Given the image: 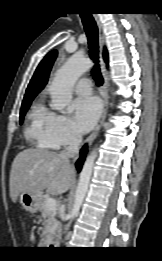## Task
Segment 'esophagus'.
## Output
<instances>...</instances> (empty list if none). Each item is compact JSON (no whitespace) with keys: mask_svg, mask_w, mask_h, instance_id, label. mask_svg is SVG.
Here are the masks:
<instances>
[{"mask_svg":"<svg viewBox=\"0 0 162 261\" xmlns=\"http://www.w3.org/2000/svg\"><path fill=\"white\" fill-rule=\"evenodd\" d=\"M95 21L97 23V27H98V34H99V54H100V65H101V73L103 76V86L101 88L100 94L102 97V101H103V106H102V112H101V116L100 119L98 121V123L96 124L94 130L92 131V133L89 135V137L86 139V143L87 144H91L94 139L96 138V136L98 135L101 123L105 117V113H106V109H107V103H108V93H107V86H108V72H107V66L106 63L103 59V48L105 46V34L103 31V27L102 24L100 22V20L98 19V17L95 15Z\"/></svg>","mask_w":162,"mask_h":261,"instance_id":"1","label":"esophagus"}]
</instances>
